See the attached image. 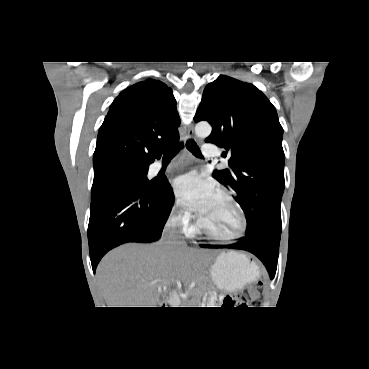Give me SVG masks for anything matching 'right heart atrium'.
<instances>
[{
    "label": "right heart atrium",
    "instance_id": "d8ad5b80",
    "mask_svg": "<svg viewBox=\"0 0 369 369\" xmlns=\"http://www.w3.org/2000/svg\"><path fill=\"white\" fill-rule=\"evenodd\" d=\"M172 217L185 229L190 228L191 214L179 200H176L172 206Z\"/></svg>",
    "mask_w": 369,
    "mask_h": 369
}]
</instances>
